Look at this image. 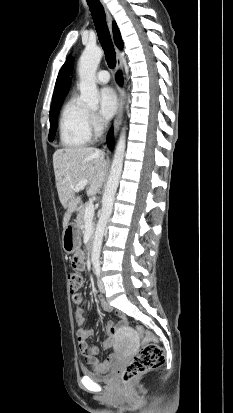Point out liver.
Listing matches in <instances>:
<instances>
[{
	"label": "liver",
	"mask_w": 233,
	"mask_h": 413,
	"mask_svg": "<svg viewBox=\"0 0 233 413\" xmlns=\"http://www.w3.org/2000/svg\"><path fill=\"white\" fill-rule=\"evenodd\" d=\"M53 167L59 200L66 210L63 217L66 228L72 213L82 204L81 196H75L74 187L88 180L87 195L97 194L105 180L107 161L104 153L93 147L64 148L54 152Z\"/></svg>",
	"instance_id": "liver-1"
}]
</instances>
